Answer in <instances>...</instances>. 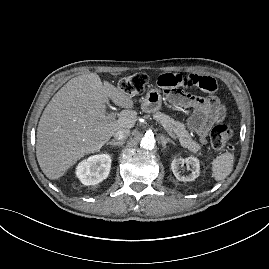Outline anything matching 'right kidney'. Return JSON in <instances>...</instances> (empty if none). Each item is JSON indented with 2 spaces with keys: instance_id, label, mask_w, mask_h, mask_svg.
<instances>
[{
  "instance_id": "1",
  "label": "right kidney",
  "mask_w": 269,
  "mask_h": 269,
  "mask_svg": "<svg viewBox=\"0 0 269 269\" xmlns=\"http://www.w3.org/2000/svg\"><path fill=\"white\" fill-rule=\"evenodd\" d=\"M111 167V157L108 154L90 156L80 162L76 168V176L82 184L96 185L106 179Z\"/></svg>"
}]
</instances>
